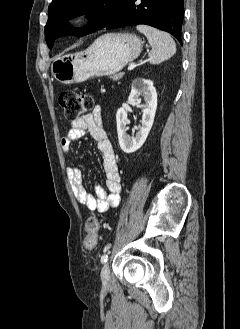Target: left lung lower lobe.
<instances>
[{
    "label": "left lung lower lobe",
    "instance_id": "1",
    "mask_svg": "<svg viewBox=\"0 0 240 329\" xmlns=\"http://www.w3.org/2000/svg\"><path fill=\"white\" fill-rule=\"evenodd\" d=\"M183 18L184 0H125L104 28L145 24L169 32L181 43Z\"/></svg>",
    "mask_w": 240,
    "mask_h": 329
}]
</instances>
